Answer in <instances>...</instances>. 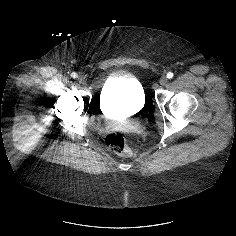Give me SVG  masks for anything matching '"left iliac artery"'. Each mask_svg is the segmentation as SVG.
<instances>
[{
  "label": "left iliac artery",
  "instance_id": "left-iliac-artery-1",
  "mask_svg": "<svg viewBox=\"0 0 236 236\" xmlns=\"http://www.w3.org/2000/svg\"><path fill=\"white\" fill-rule=\"evenodd\" d=\"M173 77V73L172 72H168L167 73V78L171 79Z\"/></svg>",
  "mask_w": 236,
  "mask_h": 236
}]
</instances>
